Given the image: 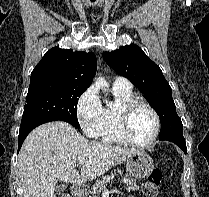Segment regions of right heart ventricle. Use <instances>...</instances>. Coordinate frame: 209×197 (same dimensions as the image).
<instances>
[{"label":"right heart ventricle","mask_w":209,"mask_h":197,"mask_svg":"<svg viewBox=\"0 0 209 197\" xmlns=\"http://www.w3.org/2000/svg\"><path fill=\"white\" fill-rule=\"evenodd\" d=\"M113 92L117 102L116 106L104 107V116L99 128L98 136L107 143H124L119 129L118 122V106L134 97L132 88H116L113 87Z\"/></svg>","instance_id":"obj_1"}]
</instances>
